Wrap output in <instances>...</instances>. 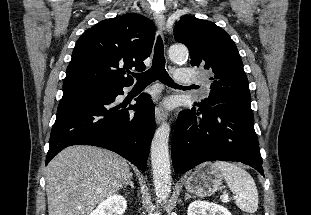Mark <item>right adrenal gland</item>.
<instances>
[{"instance_id":"1","label":"right adrenal gland","mask_w":311,"mask_h":215,"mask_svg":"<svg viewBox=\"0 0 311 215\" xmlns=\"http://www.w3.org/2000/svg\"><path fill=\"white\" fill-rule=\"evenodd\" d=\"M128 185H130V187H131L132 189H134V184H133V182H132V174H130V176H129L127 182H125L124 187L126 188Z\"/></svg>"}]
</instances>
